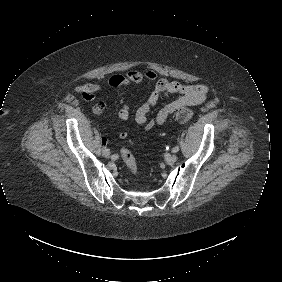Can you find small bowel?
I'll list each match as a JSON object with an SVG mask.
<instances>
[{
    "mask_svg": "<svg viewBox=\"0 0 282 282\" xmlns=\"http://www.w3.org/2000/svg\"><path fill=\"white\" fill-rule=\"evenodd\" d=\"M143 82H154V87L149 93L147 100L136 110L134 115L136 123L143 125L145 130L163 125L171 115H174V109L178 104L187 103L190 106L198 105L207 99L209 93V88L206 85H185L166 78H159L154 70L145 72L130 71L124 75H114L109 79L108 86L116 88L141 84ZM100 90L101 86L98 84H86L75 88V92L81 94L85 100H93ZM173 94L178 95V97L162 107L154 116L150 117V113L158 101L165 96ZM105 108L106 103L100 101L93 106L92 112L98 115L103 113ZM130 115V105L121 98L119 101L118 116L123 120H127ZM127 136L128 132L126 130L120 131V139H125ZM106 141V138H103L104 144Z\"/></svg>",
    "mask_w": 282,
    "mask_h": 282,
    "instance_id": "1",
    "label": "small bowel"
}]
</instances>
